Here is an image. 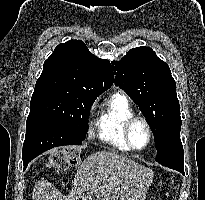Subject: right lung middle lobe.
<instances>
[{"mask_svg":"<svg viewBox=\"0 0 205 200\" xmlns=\"http://www.w3.org/2000/svg\"><path fill=\"white\" fill-rule=\"evenodd\" d=\"M97 97L83 88L55 80L37 81L30 113L44 115L80 141L85 139L88 117Z\"/></svg>","mask_w":205,"mask_h":200,"instance_id":"dd1d6c3e","label":"right lung middle lobe"}]
</instances>
